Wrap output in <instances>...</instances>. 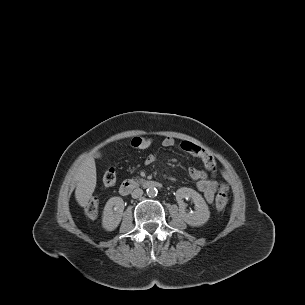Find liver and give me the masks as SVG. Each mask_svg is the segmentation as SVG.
<instances>
[{
	"mask_svg": "<svg viewBox=\"0 0 305 305\" xmlns=\"http://www.w3.org/2000/svg\"><path fill=\"white\" fill-rule=\"evenodd\" d=\"M77 187L75 190V198L82 207L87 206L94 189L96 187V165L92 156H86L75 175Z\"/></svg>",
	"mask_w": 305,
	"mask_h": 305,
	"instance_id": "obj_1",
	"label": "liver"
}]
</instances>
